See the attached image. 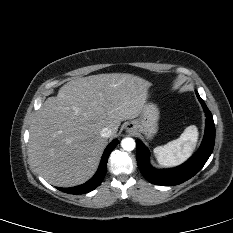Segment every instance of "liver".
I'll list each match as a JSON object with an SVG mask.
<instances>
[{
	"instance_id": "6515ba94",
	"label": "liver",
	"mask_w": 233,
	"mask_h": 233,
	"mask_svg": "<svg viewBox=\"0 0 233 233\" xmlns=\"http://www.w3.org/2000/svg\"><path fill=\"white\" fill-rule=\"evenodd\" d=\"M151 84L132 74H98L69 81L37 111L30 130V158L50 184L71 187L94 173L122 121L140 116Z\"/></svg>"
}]
</instances>
